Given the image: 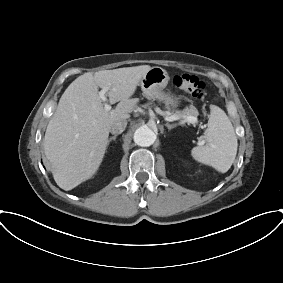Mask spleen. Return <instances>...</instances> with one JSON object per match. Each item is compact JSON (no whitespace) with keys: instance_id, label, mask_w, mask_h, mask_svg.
<instances>
[{"instance_id":"spleen-1","label":"spleen","mask_w":283,"mask_h":283,"mask_svg":"<svg viewBox=\"0 0 283 283\" xmlns=\"http://www.w3.org/2000/svg\"><path fill=\"white\" fill-rule=\"evenodd\" d=\"M203 139L205 145L191 150L193 159L226 173L235 160L238 143L232 123L221 108L211 106Z\"/></svg>"}]
</instances>
